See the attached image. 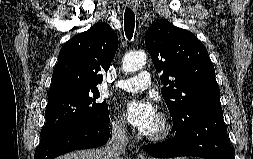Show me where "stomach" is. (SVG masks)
<instances>
[{
	"label": "stomach",
	"mask_w": 253,
	"mask_h": 159,
	"mask_svg": "<svg viewBox=\"0 0 253 159\" xmlns=\"http://www.w3.org/2000/svg\"><path fill=\"white\" fill-rule=\"evenodd\" d=\"M175 159H187V158H185V157H181V158H175Z\"/></svg>",
	"instance_id": "0dacf381"
}]
</instances>
